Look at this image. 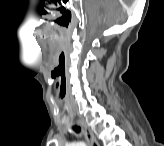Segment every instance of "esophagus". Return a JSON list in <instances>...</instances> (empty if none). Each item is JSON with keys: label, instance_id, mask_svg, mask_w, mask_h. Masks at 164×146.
Segmentation results:
<instances>
[{"label": "esophagus", "instance_id": "esophagus-1", "mask_svg": "<svg viewBox=\"0 0 164 146\" xmlns=\"http://www.w3.org/2000/svg\"><path fill=\"white\" fill-rule=\"evenodd\" d=\"M77 124L82 129L84 137H85L86 141L88 142L89 146H99V143L96 140V137L94 136V133L87 126L86 122L81 120V119H78Z\"/></svg>", "mask_w": 164, "mask_h": 146}]
</instances>
